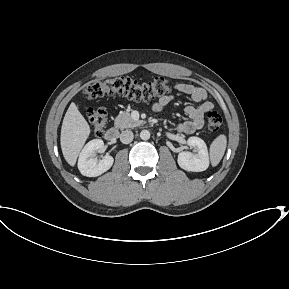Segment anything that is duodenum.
Listing matches in <instances>:
<instances>
[{
	"label": "duodenum",
	"instance_id": "duodenum-1",
	"mask_svg": "<svg viewBox=\"0 0 289 289\" xmlns=\"http://www.w3.org/2000/svg\"><path fill=\"white\" fill-rule=\"evenodd\" d=\"M119 136V132L116 128H109L105 133V139L111 143L115 142Z\"/></svg>",
	"mask_w": 289,
	"mask_h": 289
}]
</instances>
